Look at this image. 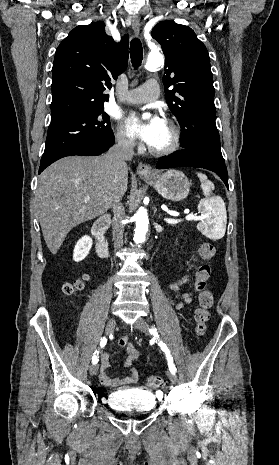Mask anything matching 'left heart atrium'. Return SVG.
<instances>
[{"instance_id":"obj_1","label":"left heart atrium","mask_w":279,"mask_h":465,"mask_svg":"<svg viewBox=\"0 0 279 465\" xmlns=\"http://www.w3.org/2000/svg\"><path fill=\"white\" fill-rule=\"evenodd\" d=\"M163 123V120L158 116L153 117L147 122H141L136 117H130L127 120L129 131L147 144L153 141Z\"/></svg>"}]
</instances>
